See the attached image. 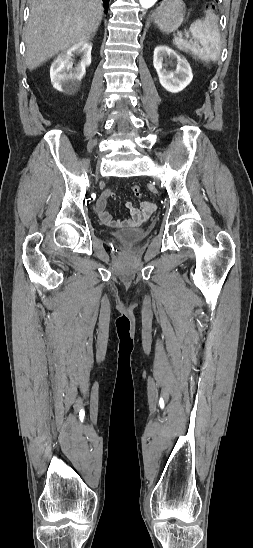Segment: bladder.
Here are the masks:
<instances>
[{"label": "bladder", "instance_id": "bladder-1", "mask_svg": "<svg viewBox=\"0 0 253 548\" xmlns=\"http://www.w3.org/2000/svg\"><path fill=\"white\" fill-rule=\"evenodd\" d=\"M147 233L142 228L123 229L113 234L114 238L122 242H138L146 237Z\"/></svg>", "mask_w": 253, "mask_h": 548}]
</instances>
